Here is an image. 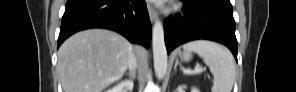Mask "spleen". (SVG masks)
Masks as SVG:
<instances>
[{"label":"spleen","mask_w":296,"mask_h":92,"mask_svg":"<svg viewBox=\"0 0 296 92\" xmlns=\"http://www.w3.org/2000/svg\"><path fill=\"white\" fill-rule=\"evenodd\" d=\"M183 49L197 53L209 67L215 81L212 92H231L235 65L232 54L226 47L211 41L197 40L184 44Z\"/></svg>","instance_id":"1"}]
</instances>
